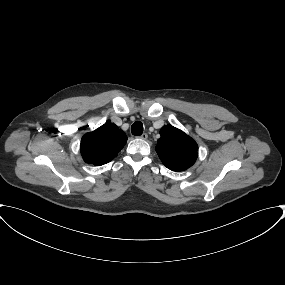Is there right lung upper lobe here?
<instances>
[{
    "label": "right lung upper lobe",
    "mask_w": 285,
    "mask_h": 285,
    "mask_svg": "<svg viewBox=\"0 0 285 285\" xmlns=\"http://www.w3.org/2000/svg\"><path fill=\"white\" fill-rule=\"evenodd\" d=\"M127 142L126 134L107 121L81 139V154L86 163L101 166L113 160Z\"/></svg>",
    "instance_id": "cb5924a9"
}]
</instances>
